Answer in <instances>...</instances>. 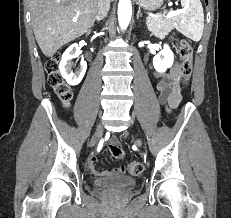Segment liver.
I'll list each match as a JSON object with an SVG mask.
<instances>
[{
    "label": "liver",
    "instance_id": "liver-1",
    "mask_svg": "<svg viewBox=\"0 0 231 218\" xmlns=\"http://www.w3.org/2000/svg\"><path fill=\"white\" fill-rule=\"evenodd\" d=\"M29 4L36 41L47 57L87 33L98 11V0H29Z\"/></svg>",
    "mask_w": 231,
    "mask_h": 218
}]
</instances>
